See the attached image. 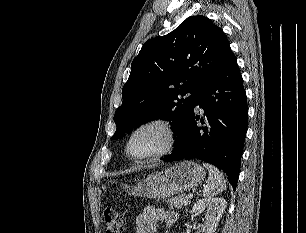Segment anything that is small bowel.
Wrapping results in <instances>:
<instances>
[{
  "label": "small bowel",
  "instance_id": "1",
  "mask_svg": "<svg viewBox=\"0 0 306 233\" xmlns=\"http://www.w3.org/2000/svg\"><path fill=\"white\" fill-rule=\"evenodd\" d=\"M177 221V213L148 206L135 218V233H155L159 222H164L167 227H173Z\"/></svg>",
  "mask_w": 306,
  "mask_h": 233
}]
</instances>
